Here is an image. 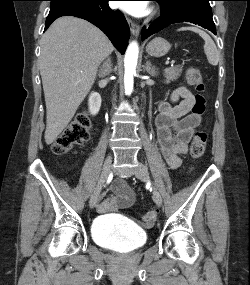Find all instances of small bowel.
Here are the masks:
<instances>
[{
	"label": "small bowel",
	"mask_w": 250,
	"mask_h": 285,
	"mask_svg": "<svg viewBox=\"0 0 250 285\" xmlns=\"http://www.w3.org/2000/svg\"><path fill=\"white\" fill-rule=\"evenodd\" d=\"M194 95L185 87L177 88L169 101L159 103L156 118L157 141L162 156L171 168L181 165V156L188 151V144L194 134L200 117L190 113L194 105ZM115 195L106 196L97 206L100 213L116 208H125L134 201L130 187L121 179L113 185Z\"/></svg>",
	"instance_id": "obj_1"
}]
</instances>
